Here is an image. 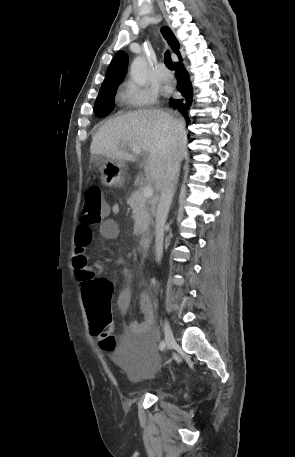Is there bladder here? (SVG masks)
<instances>
[{
    "instance_id": "bladder-1",
    "label": "bladder",
    "mask_w": 295,
    "mask_h": 457,
    "mask_svg": "<svg viewBox=\"0 0 295 457\" xmlns=\"http://www.w3.org/2000/svg\"><path fill=\"white\" fill-rule=\"evenodd\" d=\"M123 344L124 347H130L122 366L129 382L139 383L146 378L147 373H151L153 378L167 375L165 368L159 364L160 359L155 351L159 344L158 338H124Z\"/></svg>"
}]
</instances>
